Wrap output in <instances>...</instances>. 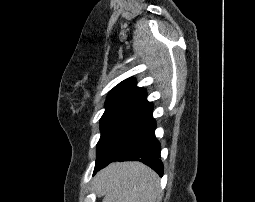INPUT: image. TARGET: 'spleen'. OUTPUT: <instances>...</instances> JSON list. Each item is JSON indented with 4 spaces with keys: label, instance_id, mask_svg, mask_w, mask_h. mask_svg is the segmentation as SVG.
<instances>
[{
    "label": "spleen",
    "instance_id": "obj_1",
    "mask_svg": "<svg viewBox=\"0 0 255 202\" xmlns=\"http://www.w3.org/2000/svg\"><path fill=\"white\" fill-rule=\"evenodd\" d=\"M102 202H156L159 178L149 167L138 162L116 163L98 177Z\"/></svg>",
    "mask_w": 255,
    "mask_h": 202
}]
</instances>
